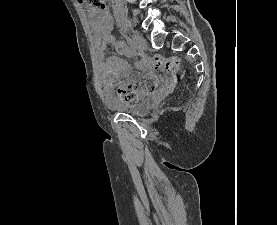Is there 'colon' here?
<instances>
[{
    "instance_id": "1",
    "label": "colon",
    "mask_w": 277,
    "mask_h": 225,
    "mask_svg": "<svg viewBox=\"0 0 277 225\" xmlns=\"http://www.w3.org/2000/svg\"><path fill=\"white\" fill-rule=\"evenodd\" d=\"M79 2L96 12H100L105 8L103 0H79ZM145 63H151L158 73L146 76L138 84H129L119 88L117 94L120 101L132 104L144 96L157 93L163 82L162 73L175 72L180 66V60L177 57L154 56Z\"/></svg>"
}]
</instances>
